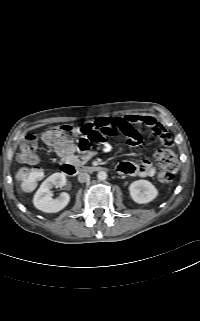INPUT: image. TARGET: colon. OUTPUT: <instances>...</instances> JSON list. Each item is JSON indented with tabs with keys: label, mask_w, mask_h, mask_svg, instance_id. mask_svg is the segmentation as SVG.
I'll list each match as a JSON object with an SVG mask.
<instances>
[{
	"label": "colon",
	"mask_w": 200,
	"mask_h": 321,
	"mask_svg": "<svg viewBox=\"0 0 200 321\" xmlns=\"http://www.w3.org/2000/svg\"><path fill=\"white\" fill-rule=\"evenodd\" d=\"M106 135H110L107 129L98 130L87 125L82 127L57 125L46 129L43 139L46 144L62 152L70 151L74 146L85 152L91 144L104 142ZM37 149V138L34 135L26 136L20 146V160L35 165L39 160ZM156 161L160 169L158 180L161 183L171 182L178 170V161L174 152L165 150L156 157ZM17 176L25 189H32L43 176V170L38 166L24 167L20 169Z\"/></svg>",
	"instance_id": "colon-1"
}]
</instances>
